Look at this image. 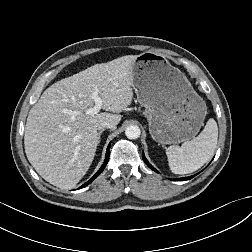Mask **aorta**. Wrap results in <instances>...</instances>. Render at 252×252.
I'll return each mask as SVG.
<instances>
[{
    "label": "aorta",
    "instance_id": "obj_1",
    "mask_svg": "<svg viewBox=\"0 0 252 252\" xmlns=\"http://www.w3.org/2000/svg\"><path fill=\"white\" fill-rule=\"evenodd\" d=\"M141 130L137 125H129L125 130V135L128 139H137L140 137Z\"/></svg>",
    "mask_w": 252,
    "mask_h": 252
}]
</instances>
